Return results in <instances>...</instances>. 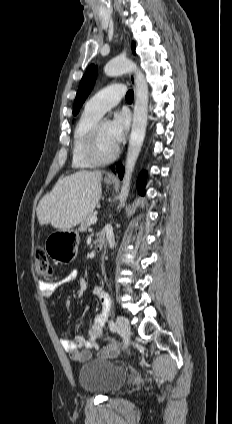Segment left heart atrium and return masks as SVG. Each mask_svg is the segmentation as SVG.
<instances>
[{"mask_svg":"<svg viewBox=\"0 0 232 424\" xmlns=\"http://www.w3.org/2000/svg\"><path fill=\"white\" fill-rule=\"evenodd\" d=\"M128 128L129 117L124 112L117 113L109 122V134L116 146L124 140Z\"/></svg>","mask_w":232,"mask_h":424,"instance_id":"obj_1","label":"left heart atrium"}]
</instances>
